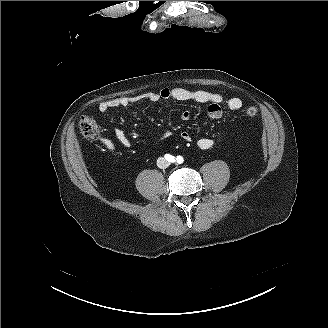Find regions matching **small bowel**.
<instances>
[{"label": "small bowel", "mask_w": 328, "mask_h": 328, "mask_svg": "<svg viewBox=\"0 0 328 328\" xmlns=\"http://www.w3.org/2000/svg\"><path fill=\"white\" fill-rule=\"evenodd\" d=\"M174 99L177 101H195L198 103H208L206 113L211 119H219L223 115V106H226L231 111H238L243 107V102L238 97H231L225 99V97L219 92H213L209 90H189L181 87L175 88H162L159 91H148L135 96H122L106 101H102L98 109L101 113H106L110 109L127 107L139 102H157L160 100ZM191 112L184 110L180 114V119L183 121L189 120ZM171 136V132L166 130L162 133L160 140H165ZM181 138L186 142L193 140L191 132L184 130L180 134ZM115 137L118 142L124 147H130L131 141L126 134L120 130H115ZM103 145L109 150L115 149L114 143L109 139H102ZM214 144V141L209 137H201L197 140V146L202 150L210 149Z\"/></svg>", "instance_id": "obj_1"}]
</instances>
